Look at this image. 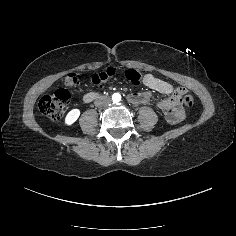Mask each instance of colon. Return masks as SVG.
<instances>
[{
	"label": "colon",
	"instance_id": "colon-1",
	"mask_svg": "<svg viewBox=\"0 0 236 236\" xmlns=\"http://www.w3.org/2000/svg\"><path fill=\"white\" fill-rule=\"evenodd\" d=\"M115 70L108 68L103 72L95 73L90 77L92 84L98 87H102L104 84L109 82L114 76ZM127 79L133 84H140L143 78V74L137 70L129 69L126 72ZM80 75L77 73H70L65 78V85L67 87H74L80 83ZM176 95L179 98L181 104L188 107L193 105V96L184 88H178ZM70 100V93L65 88H58L52 94L44 95L38 102L39 111L52 119H60L66 109L67 104Z\"/></svg>",
	"mask_w": 236,
	"mask_h": 236
}]
</instances>
